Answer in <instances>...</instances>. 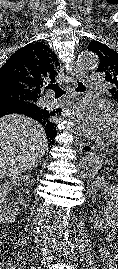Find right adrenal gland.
<instances>
[{"label":"right adrenal gland","mask_w":118,"mask_h":269,"mask_svg":"<svg viewBox=\"0 0 118 269\" xmlns=\"http://www.w3.org/2000/svg\"><path fill=\"white\" fill-rule=\"evenodd\" d=\"M36 167H37V165H35V166H34L32 169H33V170H35V169H36Z\"/></svg>","instance_id":"1"}]
</instances>
